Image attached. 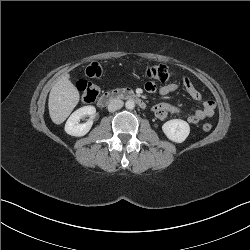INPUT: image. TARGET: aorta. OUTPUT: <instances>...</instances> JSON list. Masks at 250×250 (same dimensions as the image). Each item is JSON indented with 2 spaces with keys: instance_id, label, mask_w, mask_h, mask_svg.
I'll use <instances>...</instances> for the list:
<instances>
[{
  "instance_id": "1",
  "label": "aorta",
  "mask_w": 250,
  "mask_h": 250,
  "mask_svg": "<svg viewBox=\"0 0 250 250\" xmlns=\"http://www.w3.org/2000/svg\"><path fill=\"white\" fill-rule=\"evenodd\" d=\"M125 107L128 110H133L135 108V102L133 100L129 99L126 101Z\"/></svg>"
}]
</instances>
